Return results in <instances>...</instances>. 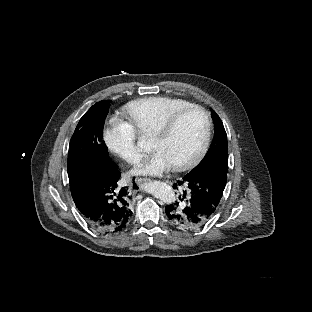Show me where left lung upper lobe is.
<instances>
[{
  "mask_svg": "<svg viewBox=\"0 0 312 312\" xmlns=\"http://www.w3.org/2000/svg\"><path fill=\"white\" fill-rule=\"evenodd\" d=\"M211 116L215 126V135L211 147L203 160L185 177L197 176L208 170L228 171L227 135L219 116L214 111H212Z\"/></svg>",
  "mask_w": 312,
  "mask_h": 312,
  "instance_id": "1",
  "label": "left lung upper lobe"
}]
</instances>
